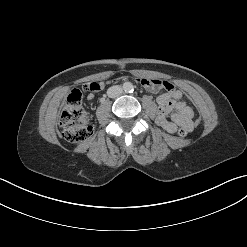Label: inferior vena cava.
Wrapping results in <instances>:
<instances>
[{
  "label": "inferior vena cava",
  "instance_id": "602c4592",
  "mask_svg": "<svg viewBox=\"0 0 247 247\" xmlns=\"http://www.w3.org/2000/svg\"><path fill=\"white\" fill-rule=\"evenodd\" d=\"M122 92H123L122 87L119 85H115V86L110 87L107 90V95L110 98H115V97L120 96L122 94Z\"/></svg>",
  "mask_w": 247,
  "mask_h": 247
}]
</instances>
